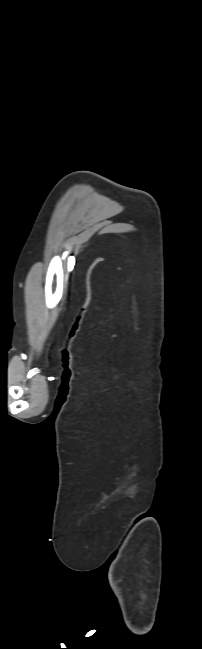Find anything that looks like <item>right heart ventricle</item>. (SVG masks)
<instances>
[{"label": "right heart ventricle", "mask_w": 202, "mask_h": 649, "mask_svg": "<svg viewBox=\"0 0 202 649\" xmlns=\"http://www.w3.org/2000/svg\"><path fill=\"white\" fill-rule=\"evenodd\" d=\"M92 633H88V636H90Z\"/></svg>", "instance_id": "e07e8e85"}]
</instances>
